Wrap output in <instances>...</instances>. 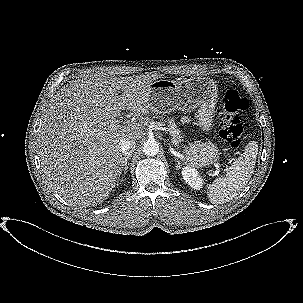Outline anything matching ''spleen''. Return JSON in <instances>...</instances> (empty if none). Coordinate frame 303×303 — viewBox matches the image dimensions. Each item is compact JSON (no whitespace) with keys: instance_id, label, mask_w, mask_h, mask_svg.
<instances>
[{"instance_id":"obj_1","label":"spleen","mask_w":303,"mask_h":303,"mask_svg":"<svg viewBox=\"0 0 303 303\" xmlns=\"http://www.w3.org/2000/svg\"><path fill=\"white\" fill-rule=\"evenodd\" d=\"M257 152V142L248 143L244 152L229 167L228 172L209 184L207 193L212 204H224L242 191L254 172Z\"/></svg>"}]
</instances>
